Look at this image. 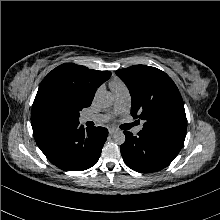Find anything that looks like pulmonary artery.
I'll return each instance as SVG.
<instances>
[{
    "label": "pulmonary artery",
    "mask_w": 220,
    "mask_h": 220,
    "mask_svg": "<svg viewBox=\"0 0 220 220\" xmlns=\"http://www.w3.org/2000/svg\"><path fill=\"white\" fill-rule=\"evenodd\" d=\"M113 97H114V106L116 110H122L127 106L129 93L128 89L125 85H120L119 87L112 90ZM108 116L106 115H84L81 117L80 121L85 123L88 121H96V122H103L108 120ZM142 129L141 126H138L134 129L135 133L140 132Z\"/></svg>",
    "instance_id": "e3ab8cb5"
}]
</instances>
